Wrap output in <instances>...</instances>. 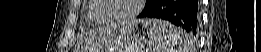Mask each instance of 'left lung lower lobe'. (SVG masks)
<instances>
[{
    "label": "left lung lower lobe",
    "mask_w": 261,
    "mask_h": 52,
    "mask_svg": "<svg viewBox=\"0 0 261 52\" xmlns=\"http://www.w3.org/2000/svg\"><path fill=\"white\" fill-rule=\"evenodd\" d=\"M200 5L198 0H153L139 14L138 18L154 17L171 22L188 32L197 35Z\"/></svg>",
    "instance_id": "left-lung-lower-lobe-1"
}]
</instances>
